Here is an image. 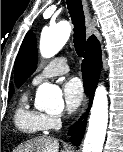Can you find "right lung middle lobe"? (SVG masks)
<instances>
[{"mask_svg":"<svg viewBox=\"0 0 123 152\" xmlns=\"http://www.w3.org/2000/svg\"><path fill=\"white\" fill-rule=\"evenodd\" d=\"M11 95H12V94H9L8 99H10Z\"/></svg>","mask_w":123,"mask_h":152,"instance_id":"dd1d6c3e","label":"right lung middle lobe"}]
</instances>
